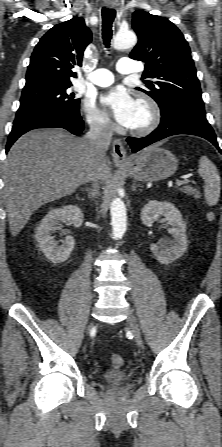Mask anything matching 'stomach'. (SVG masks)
Listing matches in <instances>:
<instances>
[{
	"label": "stomach",
	"mask_w": 222,
	"mask_h": 447,
	"mask_svg": "<svg viewBox=\"0 0 222 447\" xmlns=\"http://www.w3.org/2000/svg\"><path fill=\"white\" fill-rule=\"evenodd\" d=\"M178 159L169 150L157 145L131 155L119 167L138 181H159L175 173Z\"/></svg>",
	"instance_id": "0dacf381"
}]
</instances>
